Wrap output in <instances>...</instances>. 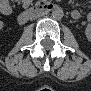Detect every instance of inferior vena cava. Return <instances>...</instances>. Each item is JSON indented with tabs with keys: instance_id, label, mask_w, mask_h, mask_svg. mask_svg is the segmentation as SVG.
Instances as JSON below:
<instances>
[{
	"instance_id": "inferior-vena-cava-1",
	"label": "inferior vena cava",
	"mask_w": 91,
	"mask_h": 91,
	"mask_svg": "<svg viewBox=\"0 0 91 91\" xmlns=\"http://www.w3.org/2000/svg\"><path fill=\"white\" fill-rule=\"evenodd\" d=\"M37 17H44V12H34V13H32V18H37Z\"/></svg>"
}]
</instances>
